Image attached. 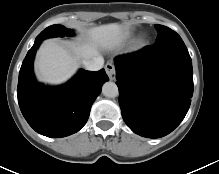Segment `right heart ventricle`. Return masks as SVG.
Instances as JSON below:
<instances>
[{
  "instance_id": "e07e8e85",
  "label": "right heart ventricle",
  "mask_w": 219,
  "mask_h": 174,
  "mask_svg": "<svg viewBox=\"0 0 219 174\" xmlns=\"http://www.w3.org/2000/svg\"><path fill=\"white\" fill-rule=\"evenodd\" d=\"M129 37V33H125L124 35H123V38H128Z\"/></svg>"
}]
</instances>
